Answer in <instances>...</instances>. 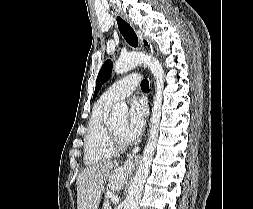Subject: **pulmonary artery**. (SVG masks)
I'll return each mask as SVG.
<instances>
[{
	"instance_id": "obj_1",
	"label": "pulmonary artery",
	"mask_w": 253,
	"mask_h": 209,
	"mask_svg": "<svg viewBox=\"0 0 253 209\" xmlns=\"http://www.w3.org/2000/svg\"><path fill=\"white\" fill-rule=\"evenodd\" d=\"M140 78L137 73L129 74L110 86L100 97L107 104L116 102L129 96L139 84Z\"/></svg>"
}]
</instances>
